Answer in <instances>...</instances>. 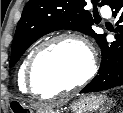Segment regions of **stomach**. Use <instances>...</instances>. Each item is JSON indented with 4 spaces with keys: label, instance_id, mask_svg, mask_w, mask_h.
I'll use <instances>...</instances> for the list:
<instances>
[{
    "label": "stomach",
    "instance_id": "0dacf381",
    "mask_svg": "<svg viewBox=\"0 0 123 113\" xmlns=\"http://www.w3.org/2000/svg\"><path fill=\"white\" fill-rule=\"evenodd\" d=\"M105 98L103 96L96 95H84L73 101L70 105L72 113H94L104 103ZM12 110L23 113H33L24 103L19 101L12 102ZM37 113H57L54 109H46Z\"/></svg>",
    "mask_w": 123,
    "mask_h": 113
}]
</instances>
